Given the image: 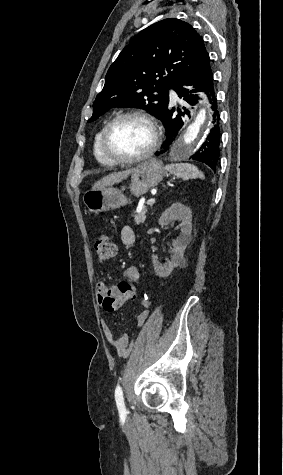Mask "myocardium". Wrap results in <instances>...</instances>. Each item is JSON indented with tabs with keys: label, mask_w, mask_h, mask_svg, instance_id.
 I'll use <instances>...</instances> for the list:
<instances>
[{
	"label": "myocardium",
	"mask_w": 283,
	"mask_h": 475,
	"mask_svg": "<svg viewBox=\"0 0 283 475\" xmlns=\"http://www.w3.org/2000/svg\"><path fill=\"white\" fill-rule=\"evenodd\" d=\"M128 117H137L140 119L145 120L152 129L153 138L149 148L141 155L132 157V158H118L109 155L107 151V140L109 133L113 126L121 119L128 118ZM161 140V129L158 124V121L155 116L150 113L144 111H127L120 113L119 115L115 116L111 119L107 125L105 126L101 138H100V149L102 155L106 158L108 162H134L135 164H139L144 162L145 160L149 159L157 150Z\"/></svg>",
	"instance_id": "myocardium-1"
}]
</instances>
